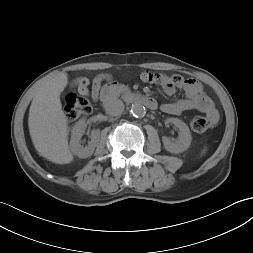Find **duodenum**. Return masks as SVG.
<instances>
[{
  "instance_id": "duodenum-1",
  "label": "duodenum",
  "mask_w": 253,
  "mask_h": 253,
  "mask_svg": "<svg viewBox=\"0 0 253 253\" xmlns=\"http://www.w3.org/2000/svg\"><path fill=\"white\" fill-rule=\"evenodd\" d=\"M119 92V85L115 82L106 86L101 93V102L106 103ZM123 98L128 102H138L146 106L148 109L155 110L158 106L156 100L139 93L127 92L123 94Z\"/></svg>"
}]
</instances>
